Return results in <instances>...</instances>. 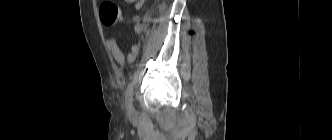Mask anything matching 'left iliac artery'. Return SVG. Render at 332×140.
<instances>
[{
    "instance_id": "obj_1",
    "label": "left iliac artery",
    "mask_w": 332,
    "mask_h": 140,
    "mask_svg": "<svg viewBox=\"0 0 332 140\" xmlns=\"http://www.w3.org/2000/svg\"><path fill=\"white\" fill-rule=\"evenodd\" d=\"M125 102H126L127 108L132 109V102H133V83L132 82H130L126 88Z\"/></svg>"
}]
</instances>
